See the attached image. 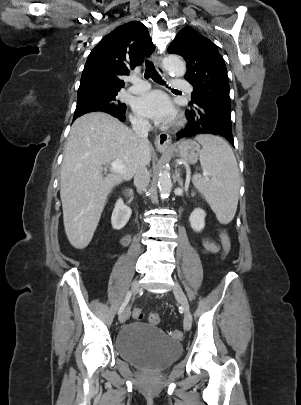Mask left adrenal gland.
<instances>
[{"label":"left adrenal gland","mask_w":301,"mask_h":405,"mask_svg":"<svg viewBox=\"0 0 301 405\" xmlns=\"http://www.w3.org/2000/svg\"><path fill=\"white\" fill-rule=\"evenodd\" d=\"M175 174H176V175H175V181H177L178 184H179L181 187H183V181H182V179L180 178L179 169L176 170Z\"/></svg>","instance_id":"1"}]
</instances>
